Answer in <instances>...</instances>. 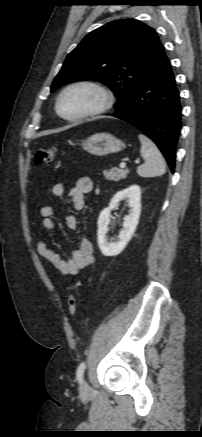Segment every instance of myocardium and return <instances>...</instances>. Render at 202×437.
Here are the masks:
<instances>
[{"instance_id": "obj_1", "label": "myocardium", "mask_w": 202, "mask_h": 437, "mask_svg": "<svg viewBox=\"0 0 202 437\" xmlns=\"http://www.w3.org/2000/svg\"><path fill=\"white\" fill-rule=\"evenodd\" d=\"M79 87H87V88H90V89L94 90L95 92H97L98 95L100 96V102L96 107H94L86 112H83L79 115L72 116V117L66 116L61 111V107H60L61 100L64 97V95L66 93H68L70 90L75 89V88H79ZM113 100H114L113 94L103 85H101L97 82L91 81V80H81V81H77V82H74V83L68 85L60 92V94L58 95V97L56 99L55 108H56L57 114L61 118H63L64 120L69 121V122H78V121H83V120L90 119V118H95V117H98V116L104 114L112 106Z\"/></svg>"}]
</instances>
